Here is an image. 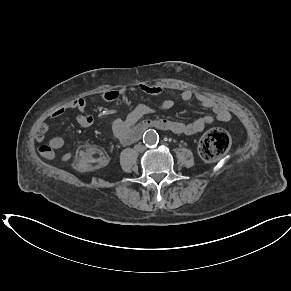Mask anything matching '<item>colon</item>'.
<instances>
[{"label":"colon","mask_w":291,"mask_h":291,"mask_svg":"<svg viewBox=\"0 0 291 291\" xmlns=\"http://www.w3.org/2000/svg\"><path fill=\"white\" fill-rule=\"evenodd\" d=\"M230 147L228 133L220 128L209 130L201 139L199 151L207 161H214L223 156ZM105 153L96 146L85 145L77 151L74 168L78 171H90L106 164Z\"/></svg>","instance_id":"5ec220e1"}]
</instances>
